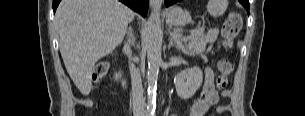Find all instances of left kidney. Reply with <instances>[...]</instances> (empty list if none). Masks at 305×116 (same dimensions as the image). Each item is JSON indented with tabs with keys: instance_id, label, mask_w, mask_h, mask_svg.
Segmentation results:
<instances>
[{
	"instance_id": "left-kidney-1",
	"label": "left kidney",
	"mask_w": 305,
	"mask_h": 116,
	"mask_svg": "<svg viewBox=\"0 0 305 116\" xmlns=\"http://www.w3.org/2000/svg\"><path fill=\"white\" fill-rule=\"evenodd\" d=\"M202 82L203 72L199 67L194 66L193 68L181 71L175 78L178 96L182 99L191 98L200 88Z\"/></svg>"
}]
</instances>
